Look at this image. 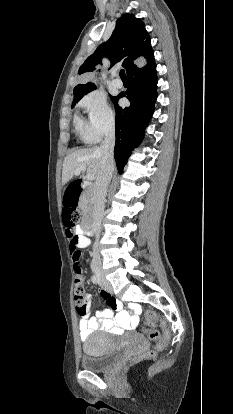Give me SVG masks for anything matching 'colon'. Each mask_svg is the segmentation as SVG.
I'll return each instance as SVG.
<instances>
[{
  "mask_svg": "<svg viewBox=\"0 0 233 414\" xmlns=\"http://www.w3.org/2000/svg\"><path fill=\"white\" fill-rule=\"evenodd\" d=\"M80 220V213L74 209L72 212H64V223L66 226V235L70 240V253L71 256H74V252H79V258L81 257V251L80 248L77 246L76 242V233L74 231L75 225ZM82 271V269H81ZM74 303L75 307L78 304H83L85 301H87L86 294H85V286H84V279L83 274L81 272V278L74 279ZM78 313V312H77ZM79 315L82 313H78ZM158 321V318L156 314L153 311H147L145 313V327L143 328V332L147 335V337L156 343V350L151 351L150 355H155L157 351L162 350L165 345L168 338V333L165 332L163 335L160 334V332L155 328V325ZM137 357H132L130 359V363H135L137 361Z\"/></svg>",
  "mask_w": 233,
  "mask_h": 414,
  "instance_id": "5ec220e1",
  "label": "colon"
}]
</instances>
